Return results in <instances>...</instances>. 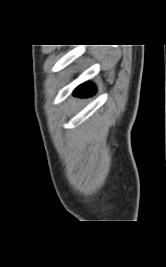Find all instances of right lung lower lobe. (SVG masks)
<instances>
[{"label": "right lung lower lobe", "instance_id": "obj_1", "mask_svg": "<svg viewBox=\"0 0 166 267\" xmlns=\"http://www.w3.org/2000/svg\"><path fill=\"white\" fill-rule=\"evenodd\" d=\"M94 93H95V87L93 85L85 83L77 87L75 91V96L89 97V96H92V94Z\"/></svg>", "mask_w": 166, "mask_h": 267}]
</instances>
